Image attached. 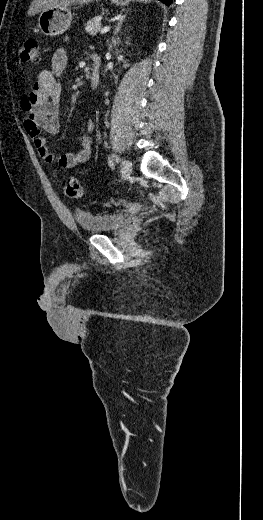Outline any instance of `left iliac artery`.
I'll return each mask as SVG.
<instances>
[{
  "mask_svg": "<svg viewBox=\"0 0 263 520\" xmlns=\"http://www.w3.org/2000/svg\"><path fill=\"white\" fill-rule=\"evenodd\" d=\"M108 164L110 166L111 169H114V157L113 156H109L108 158Z\"/></svg>",
  "mask_w": 263,
  "mask_h": 520,
  "instance_id": "left-iliac-artery-1",
  "label": "left iliac artery"
}]
</instances>
